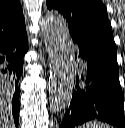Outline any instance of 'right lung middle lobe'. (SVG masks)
I'll return each mask as SVG.
<instances>
[{
	"label": "right lung middle lobe",
	"instance_id": "obj_1",
	"mask_svg": "<svg viewBox=\"0 0 125 128\" xmlns=\"http://www.w3.org/2000/svg\"><path fill=\"white\" fill-rule=\"evenodd\" d=\"M0 77H1V79L4 80V81H10V80H11L10 77L5 76V75H3L2 73H0Z\"/></svg>",
	"mask_w": 125,
	"mask_h": 128
}]
</instances>
